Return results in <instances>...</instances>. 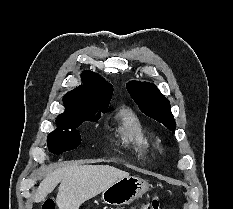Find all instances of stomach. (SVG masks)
Returning <instances> with one entry per match:
<instances>
[{
    "label": "stomach",
    "mask_w": 233,
    "mask_h": 209,
    "mask_svg": "<svg viewBox=\"0 0 233 209\" xmlns=\"http://www.w3.org/2000/svg\"><path fill=\"white\" fill-rule=\"evenodd\" d=\"M148 190L149 184L145 180L136 176H127L103 190L101 200L108 205H126L142 197Z\"/></svg>",
    "instance_id": "stomach-1"
}]
</instances>
